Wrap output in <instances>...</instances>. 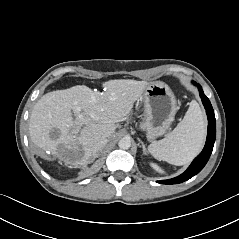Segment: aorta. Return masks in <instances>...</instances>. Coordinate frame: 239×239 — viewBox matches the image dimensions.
I'll return each mask as SVG.
<instances>
[{"mask_svg":"<svg viewBox=\"0 0 239 239\" xmlns=\"http://www.w3.org/2000/svg\"><path fill=\"white\" fill-rule=\"evenodd\" d=\"M118 146L121 149L127 150L131 146V140L128 137H124L118 142Z\"/></svg>","mask_w":239,"mask_h":239,"instance_id":"1","label":"aorta"}]
</instances>
